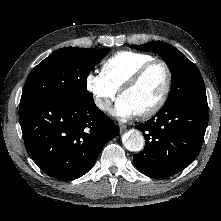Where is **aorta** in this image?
Segmentation results:
<instances>
[{
	"instance_id": "762f6f07",
	"label": "aorta",
	"mask_w": 221,
	"mask_h": 221,
	"mask_svg": "<svg viewBox=\"0 0 221 221\" xmlns=\"http://www.w3.org/2000/svg\"><path fill=\"white\" fill-rule=\"evenodd\" d=\"M145 138L138 130H131L126 134L124 146L131 152H139L144 148Z\"/></svg>"
}]
</instances>
